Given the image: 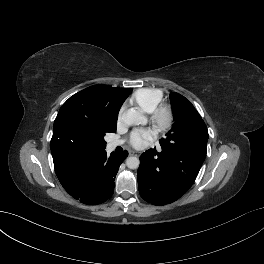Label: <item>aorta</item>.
Here are the masks:
<instances>
[{
	"label": "aorta",
	"mask_w": 264,
	"mask_h": 264,
	"mask_svg": "<svg viewBox=\"0 0 264 264\" xmlns=\"http://www.w3.org/2000/svg\"><path fill=\"white\" fill-rule=\"evenodd\" d=\"M122 120L126 125H140L146 124L147 119L137 110L130 108L122 115ZM140 161L137 157L130 156L126 159V165L130 169H137L139 167Z\"/></svg>",
	"instance_id": "aorta-1"
}]
</instances>
